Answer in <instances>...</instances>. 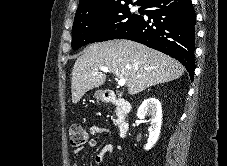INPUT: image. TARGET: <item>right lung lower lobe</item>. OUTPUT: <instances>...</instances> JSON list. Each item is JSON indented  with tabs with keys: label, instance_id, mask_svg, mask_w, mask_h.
Segmentation results:
<instances>
[{
	"label": "right lung lower lobe",
	"instance_id": "obj_1",
	"mask_svg": "<svg viewBox=\"0 0 227 166\" xmlns=\"http://www.w3.org/2000/svg\"><path fill=\"white\" fill-rule=\"evenodd\" d=\"M142 18L121 33L129 39L161 51L180 61L194 77L195 12L191 0H150ZM152 23V25H150Z\"/></svg>",
	"mask_w": 227,
	"mask_h": 166
}]
</instances>
